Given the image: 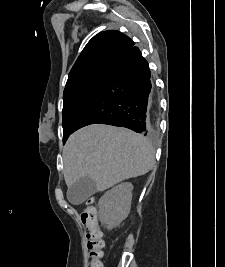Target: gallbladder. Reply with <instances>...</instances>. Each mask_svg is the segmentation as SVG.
Returning a JSON list of instances; mask_svg holds the SVG:
<instances>
[{"instance_id":"gallbladder-1","label":"gallbladder","mask_w":225,"mask_h":267,"mask_svg":"<svg viewBox=\"0 0 225 267\" xmlns=\"http://www.w3.org/2000/svg\"><path fill=\"white\" fill-rule=\"evenodd\" d=\"M96 192V183L89 177H82L68 188L67 198L74 205L85 202Z\"/></svg>"}]
</instances>
